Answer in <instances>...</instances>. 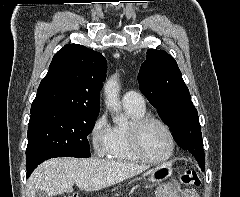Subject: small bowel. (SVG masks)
Instances as JSON below:
<instances>
[{"label": "small bowel", "mask_w": 240, "mask_h": 197, "mask_svg": "<svg viewBox=\"0 0 240 197\" xmlns=\"http://www.w3.org/2000/svg\"><path fill=\"white\" fill-rule=\"evenodd\" d=\"M157 197H161L158 193ZM165 197H199L198 192L195 189H180L177 187H172V189L166 194Z\"/></svg>", "instance_id": "obj_1"}]
</instances>
